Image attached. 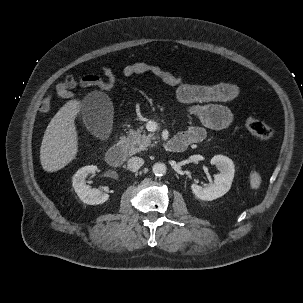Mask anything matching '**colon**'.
I'll return each mask as SVG.
<instances>
[{"label": "colon", "mask_w": 303, "mask_h": 303, "mask_svg": "<svg viewBox=\"0 0 303 303\" xmlns=\"http://www.w3.org/2000/svg\"><path fill=\"white\" fill-rule=\"evenodd\" d=\"M116 79L104 78L103 90L108 91L115 87ZM245 128L254 136L263 141H271L274 138V131L264 122L253 117H246L244 120Z\"/></svg>", "instance_id": "1"}]
</instances>
